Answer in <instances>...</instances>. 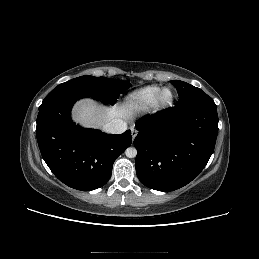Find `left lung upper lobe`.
<instances>
[{"label":"left lung upper lobe","instance_id":"5c2ea615","mask_svg":"<svg viewBox=\"0 0 259 259\" xmlns=\"http://www.w3.org/2000/svg\"><path fill=\"white\" fill-rule=\"evenodd\" d=\"M171 83L176 87L179 102L177 104H192V103H208L215 104L213 99L209 97L200 88L194 87L183 81L173 80Z\"/></svg>","mask_w":259,"mask_h":259}]
</instances>
